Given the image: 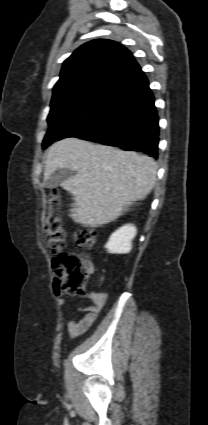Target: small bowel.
I'll use <instances>...</instances> for the list:
<instances>
[{
  "mask_svg": "<svg viewBox=\"0 0 208 425\" xmlns=\"http://www.w3.org/2000/svg\"><path fill=\"white\" fill-rule=\"evenodd\" d=\"M54 289L56 292L57 303L60 306L65 304V299L59 291L58 281L55 280ZM87 298L92 301L93 306L85 308V314L79 319L72 318L67 322V329L72 338L85 333L96 321L100 311L105 305L107 294L104 292L90 291Z\"/></svg>",
  "mask_w": 208,
  "mask_h": 425,
  "instance_id": "c3829d8e",
  "label": "small bowel"
}]
</instances>
